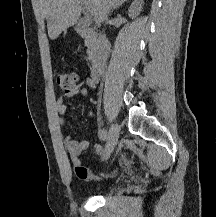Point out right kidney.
<instances>
[{
	"mask_svg": "<svg viewBox=\"0 0 216 217\" xmlns=\"http://www.w3.org/2000/svg\"><path fill=\"white\" fill-rule=\"evenodd\" d=\"M142 4H143V0H135L131 4L128 12H129V16L132 19L136 18L140 14L142 10Z\"/></svg>",
	"mask_w": 216,
	"mask_h": 217,
	"instance_id": "1",
	"label": "right kidney"
}]
</instances>
